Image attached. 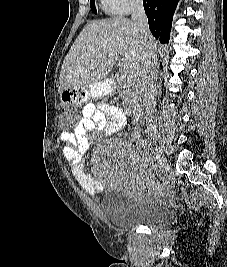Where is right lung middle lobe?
<instances>
[{
    "instance_id": "obj_1",
    "label": "right lung middle lobe",
    "mask_w": 227,
    "mask_h": 267,
    "mask_svg": "<svg viewBox=\"0 0 227 267\" xmlns=\"http://www.w3.org/2000/svg\"><path fill=\"white\" fill-rule=\"evenodd\" d=\"M90 7L93 13H97L94 0H90Z\"/></svg>"
}]
</instances>
